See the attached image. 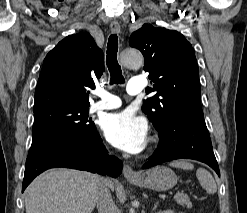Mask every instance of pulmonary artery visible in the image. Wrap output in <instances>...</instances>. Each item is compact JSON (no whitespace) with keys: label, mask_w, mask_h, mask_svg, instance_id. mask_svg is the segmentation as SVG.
Here are the masks:
<instances>
[{"label":"pulmonary artery","mask_w":247,"mask_h":213,"mask_svg":"<svg viewBox=\"0 0 247 213\" xmlns=\"http://www.w3.org/2000/svg\"><path fill=\"white\" fill-rule=\"evenodd\" d=\"M143 81V77H132L127 86V93L129 95L141 93L144 88ZM96 94L100 99L91 105L92 111L116 109L122 104L118 96L109 92L98 90Z\"/></svg>","instance_id":"obj_1"}]
</instances>
